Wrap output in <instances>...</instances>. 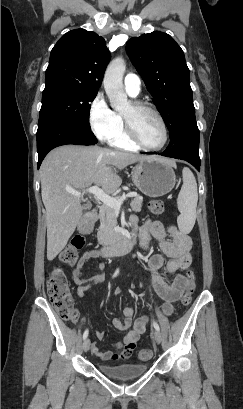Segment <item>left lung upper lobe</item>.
<instances>
[{"mask_svg":"<svg viewBox=\"0 0 243 409\" xmlns=\"http://www.w3.org/2000/svg\"><path fill=\"white\" fill-rule=\"evenodd\" d=\"M126 51L174 138L183 121L195 115L182 49L170 35L154 31L131 38Z\"/></svg>","mask_w":243,"mask_h":409,"instance_id":"obj_1","label":"left lung upper lobe"}]
</instances>
